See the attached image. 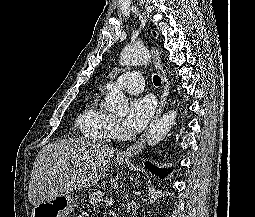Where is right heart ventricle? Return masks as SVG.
Segmentation results:
<instances>
[{"mask_svg":"<svg viewBox=\"0 0 255 217\" xmlns=\"http://www.w3.org/2000/svg\"><path fill=\"white\" fill-rule=\"evenodd\" d=\"M112 116L102 108L99 96L94 97L76 119L81 134L94 141H104L111 135Z\"/></svg>","mask_w":255,"mask_h":217,"instance_id":"obj_1","label":"right heart ventricle"}]
</instances>
